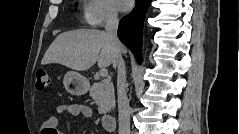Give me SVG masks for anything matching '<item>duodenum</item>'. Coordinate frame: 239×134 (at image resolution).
<instances>
[{"label":"duodenum","instance_id":"duodenum-1","mask_svg":"<svg viewBox=\"0 0 239 134\" xmlns=\"http://www.w3.org/2000/svg\"><path fill=\"white\" fill-rule=\"evenodd\" d=\"M102 125L108 132L114 131L116 125L115 117L113 115H105L102 118Z\"/></svg>","mask_w":239,"mask_h":134}]
</instances>
